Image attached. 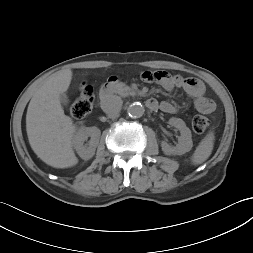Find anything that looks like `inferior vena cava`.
Returning <instances> with one entry per match:
<instances>
[{
    "instance_id": "inferior-vena-cava-1",
    "label": "inferior vena cava",
    "mask_w": 253,
    "mask_h": 253,
    "mask_svg": "<svg viewBox=\"0 0 253 253\" xmlns=\"http://www.w3.org/2000/svg\"><path fill=\"white\" fill-rule=\"evenodd\" d=\"M122 100L119 97H111L101 102L102 110L109 115H117L122 108Z\"/></svg>"
}]
</instances>
